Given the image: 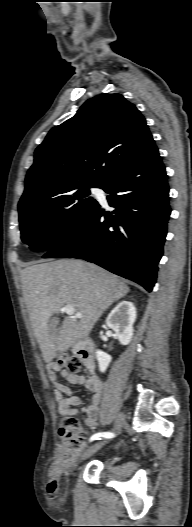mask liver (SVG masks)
<instances>
[{
	"instance_id": "1",
	"label": "liver",
	"mask_w": 192,
	"mask_h": 527,
	"mask_svg": "<svg viewBox=\"0 0 192 527\" xmlns=\"http://www.w3.org/2000/svg\"><path fill=\"white\" fill-rule=\"evenodd\" d=\"M23 297L43 359L51 362L58 352L86 338L103 312L123 298L129 287L101 267L81 260L62 259L35 264L21 271ZM71 305L82 318L66 317L54 336L50 318Z\"/></svg>"
}]
</instances>
